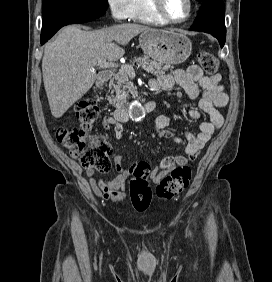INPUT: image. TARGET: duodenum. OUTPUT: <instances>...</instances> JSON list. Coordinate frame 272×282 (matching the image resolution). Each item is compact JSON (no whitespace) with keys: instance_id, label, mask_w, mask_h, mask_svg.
Here are the masks:
<instances>
[{"instance_id":"duodenum-1","label":"duodenum","mask_w":272,"mask_h":282,"mask_svg":"<svg viewBox=\"0 0 272 282\" xmlns=\"http://www.w3.org/2000/svg\"><path fill=\"white\" fill-rule=\"evenodd\" d=\"M112 77V72L111 71H103L99 74V80L101 82H108ZM157 80L156 79H151L150 80V86L152 89L156 86ZM129 106V101L128 100H122L119 103V106L113 111V117L116 120H125L126 119V110ZM143 107L146 109L153 110L156 107V101L152 100L149 102H146L143 104Z\"/></svg>"}]
</instances>
